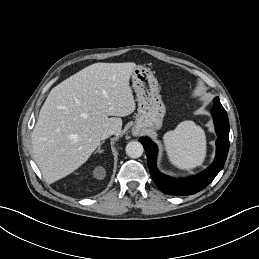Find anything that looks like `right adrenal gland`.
Listing matches in <instances>:
<instances>
[{"mask_svg":"<svg viewBox=\"0 0 259 259\" xmlns=\"http://www.w3.org/2000/svg\"><path fill=\"white\" fill-rule=\"evenodd\" d=\"M103 143H104V141H102V142L99 144L98 149L95 151V154H96V153H99V154L103 153V150H101V145H102Z\"/></svg>","mask_w":259,"mask_h":259,"instance_id":"right-adrenal-gland-1","label":"right adrenal gland"}]
</instances>
